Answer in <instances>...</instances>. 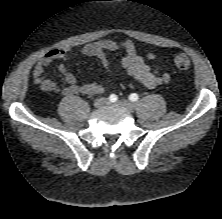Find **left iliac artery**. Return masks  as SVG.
Here are the masks:
<instances>
[{
  "instance_id": "left-iliac-artery-1",
  "label": "left iliac artery",
  "mask_w": 222,
  "mask_h": 219,
  "mask_svg": "<svg viewBox=\"0 0 222 219\" xmlns=\"http://www.w3.org/2000/svg\"><path fill=\"white\" fill-rule=\"evenodd\" d=\"M138 98H139V96H138V94H136V93H133V94H131V95L129 96V99H130L132 102L137 101Z\"/></svg>"
}]
</instances>
